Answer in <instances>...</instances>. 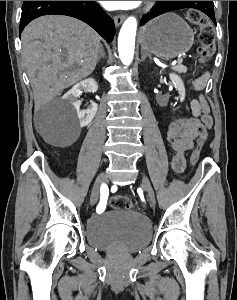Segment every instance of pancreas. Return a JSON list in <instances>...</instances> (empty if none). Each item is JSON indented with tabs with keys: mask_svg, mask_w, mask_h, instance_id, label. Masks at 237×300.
Segmentation results:
<instances>
[{
	"mask_svg": "<svg viewBox=\"0 0 237 300\" xmlns=\"http://www.w3.org/2000/svg\"><path fill=\"white\" fill-rule=\"evenodd\" d=\"M173 71H178V73H186L187 69L182 65L181 67L175 65V67H172Z\"/></svg>",
	"mask_w": 237,
	"mask_h": 300,
	"instance_id": "pancreas-1",
	"label": "pancreas"
}]
</instances>
